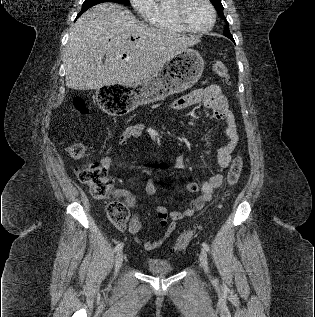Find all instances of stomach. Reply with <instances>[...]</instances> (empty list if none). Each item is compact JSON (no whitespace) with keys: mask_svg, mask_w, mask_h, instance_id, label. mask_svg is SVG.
<instances>
[{"mask_svg":"<svg viewBox=\"0 0 315 317\" xmlns=\"http://www.w3.org/2000/svg\"><path fill=\"white\" fill-rule=\"evenodd\" d=\"M204 60L199 52L185 49L171 58L153 78L137 84H103L99 104L109 114H132L140 105L149 104L185 91L201 77Z\"/></svg>","mask_w":315,"mask_h":317,"instance_id":"stomach-1","label":"stomach"}]
</instances>
